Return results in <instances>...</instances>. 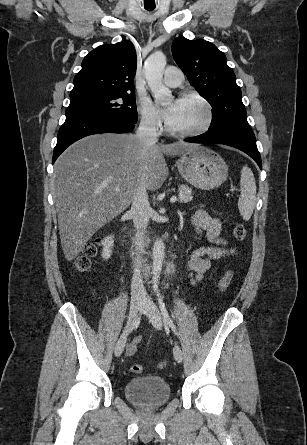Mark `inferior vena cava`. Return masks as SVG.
Here are the masks:
<instances>
[{
    "label": "inferior vena cava",
    "instance_id": "obj_1",
    "mask_svg": "<svg viewBox=\"0 0 307 445\" xmlns=\"http://www.w3.org/2000/svg\"><path fill=\"white\" fill-rule=\"evenodd\" d=\"M157 124L155 118L152 116H142L136 136L143 146L148 144H155L158 140L160 132H157ZM145 168V166H144ZM150 210V204L148 200L146 182L141 180L137 186V192H135L134 200L131 206V214L136 231L135 235V247L138 253H143L144 233L148 225V214ZM139 257L136 259V267L134 269L133 281L131 285V303L141 304L142 297H145L146 291L142 281V275L140 271Z\"/></svg>",
    "mask_w": 307,
    "mask_h": 445
}]
</instances>
